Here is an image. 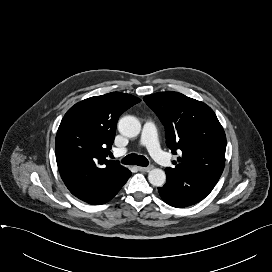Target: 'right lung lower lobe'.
Returning a JSON list of instances; mask_svg holds the SVG:
<instances>
[{
	"label": "right lung lower lobe",
	"mask_w": 272,
	"mask_h": 272,
	"mask_svg": "<svg viewBox=\"0 0 272 272\" xmlns=\"http://www.w3.org/2000/svg\"><path fill=\"white\" fill-rule=\"evenodd\" d=\"M130 176H131V172L128 175V177L125 179V181H123L117 187L113 188L107 194L103 195L98 200H96L94 202H91L90 204H93V205H95V204H104V203L108 202L109 200H111L118 193V191L121 189V187L126 183V181L129 179Z\"/></svg>",
	"instance_id": "right-lung-lower-lobe-1"
}]
</instances>
